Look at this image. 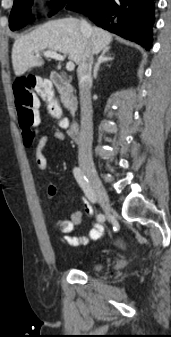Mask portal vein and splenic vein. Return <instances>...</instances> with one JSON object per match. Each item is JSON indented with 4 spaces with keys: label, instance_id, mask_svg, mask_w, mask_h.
Segmentation results:
<instances>
[{
    "label": "portal vein and splenic vein",
    "instance_id": "1",
    "mask_svg": "<svg viewBox=\"0 0 171 337\" xmlns=\"http://www.w3.org/2000/svg\"><path fill=\"white\" fill-rule=\"evenodd\" d=\"M38 56H39V54H38ZM43 56L48 57V58L57 59V60H60V61L64 60V56H62V55H60V54H58L57 52H54V51H45V52H43ZM74 68H75V65L72 61H69L66 64L67 71H73Z\"/></svg>",
    "mask_w": 171,
    "mask_h": 337
}]
</instances>
